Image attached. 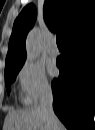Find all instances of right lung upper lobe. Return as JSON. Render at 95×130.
Here are the masks:
<instances>
[{
  "instance_id": "right-lung-upper-lobe-1",
  "label": "right lung upper lobe",
  "mask_w": 95,
  "mask_h": 130,
  "mask_svg": "<svg viewBox=\"0 0 95 130\" xmlns=\"http://www.w3.org/2000/svg\"><path fill=\"white\" fill-rule=\"evenodd\" d=\"M44 20L51 31H59L63 41L74 38L95 26L94 0H45ZM36 20L35 6L27 5L13 25L5 70L22 67L25 40Z\"/></svg>"
}]
</instances>
